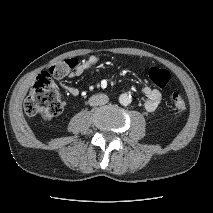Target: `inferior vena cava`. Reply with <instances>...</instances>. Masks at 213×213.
Wrapping results in <instances>:
<instances>
[{
	"instance_id": "obj_1",
	"label": "inferior vena cava",
	"mask_w": 213,
	"mask_h": 213,
	"mask_svg": "<svg viewBox=\"0 0 213 213\" xmlns=\"http://www.w3.org/2000/svg\"><path fill=\"white\" fill-rule=\"evenodd\" d=\"M109 101V98L105 94H97L93 95L89 99V104L90 106H99V105H104Z\"/></svg>"
}]
</instances>
